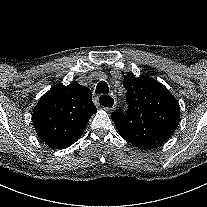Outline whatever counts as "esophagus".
Listing matches in <instances>:
<instances>
[{"label":"esophagus","instance_id":"34e87169","mask_svg":"<svg viewBox=\"0 0 207 207\" xmlns=\"http://www.w3.org/2000/svg\"><path fill=\"white\" fill-rule=\"evenodd\" d=\"M94 103L99 106L98 97H95ZM101 106L106 110H114L116 108V101L111 97H103L101 99Z\"/></svg>","mask_w":207,"mask_h":207}]
</instances>
